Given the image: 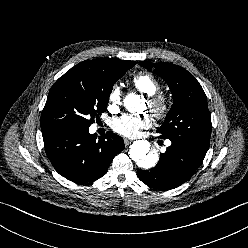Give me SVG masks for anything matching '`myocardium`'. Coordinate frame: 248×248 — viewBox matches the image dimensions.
Here are the masks:
<instances>
[{
	"label": "myocardium",
	"instance_id": "obj_1",
	"mask_svg": "<svg viewBox=\"0 0 248 248\" xmlns=\"http://www.w3.org/2000/svg\"><path fill=\"white\" fill-rule=\"evenodd\" d=\"M150 113L156 119L164 118L171 109V102L167 95L157 92L148 98Z\"/></svg>",
	"mask_w": 248,
	"mask_h": 248
}]
</instances>
